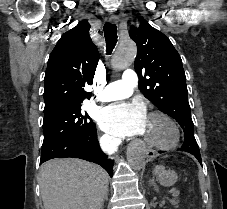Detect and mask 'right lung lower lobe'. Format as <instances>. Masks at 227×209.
Masks as SVG:
<instances>
[{"label": "right lung lower lobe", "instance_id": "right-lung-lower-lobe-1", "mask_svg": "<svg viewBox=\"0 0 227 209\" xmlns=\"http://www.w3.org/2000/svg\"><path fill=\"white\" fill-rule=\"evenodd\" d=\"M73 157L101 165L113 175V162L101 151L96 127L87 134L69 135L52 143L42 145L40 164L53 158Z\"/></svg>", "mask_w": 227, "mask_h": 209}]
</instances>
